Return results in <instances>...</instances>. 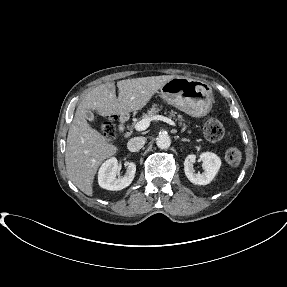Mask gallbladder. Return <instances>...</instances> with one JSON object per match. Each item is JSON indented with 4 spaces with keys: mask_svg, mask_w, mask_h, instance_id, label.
<instances>
[{
    "mask_svg": "<svg viewBox=\"0 0 287 287\" xmlns=\"http://www.w3.org/2000/svg\"><path fill=\"white\" fill-rule=\"evenodd\" d=\"M86 118L90 122H94V120H95L94 115H93V113L91 111H86Z\"/></svg>",
    "mask_w": 287,
    "mask_h": 287,
    "instance_id": "gallbladder-1",
    "label": "gallbladder"
}]
</instances>
